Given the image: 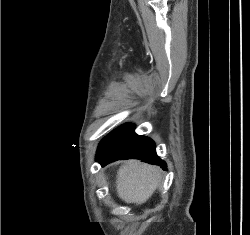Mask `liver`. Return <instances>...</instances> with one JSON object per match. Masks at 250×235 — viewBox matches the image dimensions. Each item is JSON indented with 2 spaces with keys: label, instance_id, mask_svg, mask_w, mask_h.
<instances>
[{
  "label": "liver",
  "instance_id": "liver-1",
  "mask_svg": "<svg viewBox=\"0 0 250 235\" xmlns=\"http://www.w3.org/2000/svg\"><path fill=\"white\" fill-rule=\"evenodd\" d=\"M161 181V171L137 160L125 162L116 176V190L126 203L140 205L154 193Z\"/></svg>",
  "mask_w": 250,
  "mask_h": 235
}]
</instances>
